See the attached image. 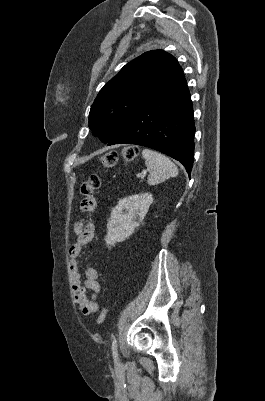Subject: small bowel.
<instances>
[{
    "label": "small bowel",
    "instance_id": "c3829d8e",
    "mask_svg": "<svg viewBox=\"0 0 265 401\" xmlns=\"http://www.w3.org/2000/svg\"><path fill=\"white\" fill-rule=\"evenodd\" d=\"M79 208L82 213H94L97 210V200L94 197L85 198L81 201ZM73 232L77 239L69 249L72 293L78 310L84 315H90L97 312L99 308L96 301L101 292L99 273L97 269L88 267L85 271V278L82 281L78 258L81 255L82 248L90 243L94 237V222L90 220L84 224L79 220L75 222ZM87 290L91 292V298L87 296Z\"/></svg>",
    "mask_w": 265,
    "mask_h": 401
}]
</instances>
